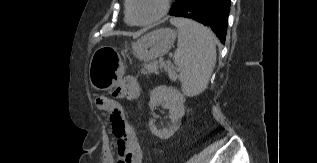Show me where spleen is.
<instances>
[{
  "label": "spleen",
  "mask_w": 317,
  "mask_h": 163,
  "mask_svg": "<svg viewBox=\"0 0 317 163\" xmlns=\"http://www.w3.org/2000/svg\"><path fill=\"white\" fill-rule=\"evenodd\" d=\"M178 28L174 63L179 70L183 92L193 97L202 93L209 83L216 63L213 34L201 24L186 18H172Z\"/></svg>",
  "instance_id": "obj_1"
}]
</instances>
